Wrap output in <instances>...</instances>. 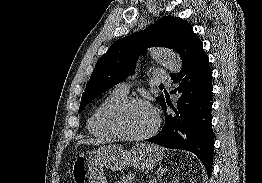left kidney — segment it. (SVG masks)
<instances>
[{
  "label": "left kidney",
  "instance_id": "1",
  "mask_svg": "<svg viewBox=\"0 0 262 183\" xmlns=\"http://www.w3.org/2000/svg\"><path fill=\"white\" fill-rule=\"evenodd\" d=\"M173 183H179V181L178 180H174V182Z\"/></svg>",
  "mask_w": 262,
  "mask_h": 183
}]
</instances>
